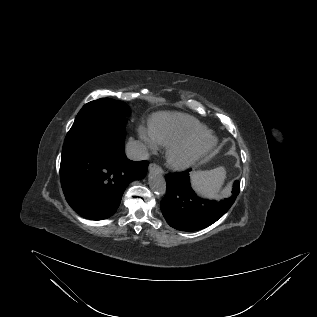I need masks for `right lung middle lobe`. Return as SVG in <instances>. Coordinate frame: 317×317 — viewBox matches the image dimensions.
Segmentation results:
<instances>
[{
  "instance_id": "1",
  "label": "right lung middle lobe",
  "mask_w": 317,
  "mask_h": 317,
  "mask_svg": "<svg viewBox=\"0 0 317 317\" xmlns=\"http://www.w3.org/2000/svg\"><path fill=\"white\" fill-rule=\"evenodd\" d=\"M129 107L117 100L101 98L83 106L66 135L62 156L84 146L101 131H123Z\"/></svg>"
}]
</instances>
